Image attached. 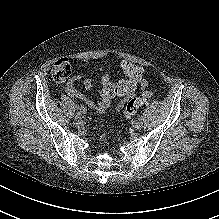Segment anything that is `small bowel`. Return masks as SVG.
Wrapping results in <instances>:
<instances>
[{
    "instance_id": "1",
    "label": "small bowel",
    "mask_w": 219,
    "mask_h": 219,
    "mask_svg": "<svg viewBox=\"0 0 219 219\" xmlns=\"http://www.w3.org/2000/svg\"><path fill=\"white\" fill-rule=\"evenodd\" d=\"M80 78H81L80 75H75L67 82L65 86V91L67 95L86 103L88 106H90L94 110L102 111L103 110L102 109L103 99H101L100 101H93L92 99L86 97L84 94H82L79 90H77L74 87L75 81H77ZM83 84L86 89H92L93 87V82L91 79H85L83 81ZM140 84H141V88L143 89V95L147 97L151 96V91L146 89V86L148 84L147 80L142 79ZM122 104L123 103L120 104V107L122 106Z\"/></svg>"
}]
</instances>
